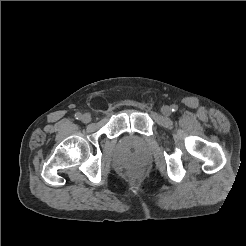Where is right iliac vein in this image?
I'll return each mask as SVG.
<instances>
[{"label":"right iliac vein","mask_w":246,"mask_h":246,"mask_svg":"<svg viewBox=\"0 0 246 246\" xmlns=\"http://www.w3.org/2000/svg\"><path fill=\"white\" fill-rule=\"evenodd\" d=\"M81 120L83 123H89L91 121L90 114L88 113L83 114Z\"/></svg>","instance_id":"right-iliac-vein-1"}]
</instances>
